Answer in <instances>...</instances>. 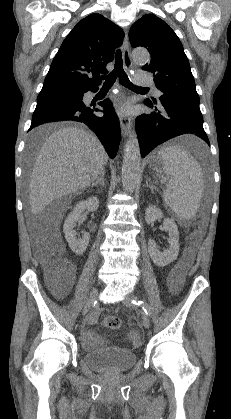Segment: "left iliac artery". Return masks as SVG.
I'll use <instances>...</instances> for the list:
<instances>
[{"label":"left iliac artery","mask_w":231,"mask_h":419,"mask_svg":"<svg viewBox=\"0 0 231 419\" xmlns=\"http://www.w3.org/2000/svg\"><path fill=\"white\" fill-rule=\"evenodd\" d=\"M132 303L134 305H136V306L142 307V309L144 310L145 314L146 315H150L151 309H150V306L146 302H144L142 300H132Z\"/></svg>","instance_id":"44dca946"}]
</instances>
